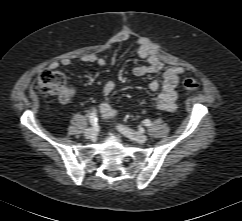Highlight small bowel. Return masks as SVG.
<instances>
[{
	"instance_id": "1",
	"label": "small bowel",
	"mask_w": 242,
	"mask_h": 221,
	"mask_svg": "<svg viewBox=\"0 0 242 221\" xmlns=\"http://www.w3.org/2000/svg\"><path fill=\"white\" fill-rule=\"evenodd\" d=\"M130 37L127 34H122L118 37L117 42H123ZM138 55L147 61V65H136L133 67L132 72L135 76H144L150 73L162 72V79H154L149 83V89L153 92L158 91V95L153 99L154 106L166 112H174L177 108V85L179 83V76L183 73V68L175 66H166L160 59L156 51L150 46L147 40L140 38L138 40ZM81 61L87 64H97L104 66L106 61L104 58L97 56L93 53L84 54ZM72 61L69 58H63L60 61H54L50 64V69H57L60 66L67 67L71 65ZM116 88V83L109 80L104 84L103 94L104 101L99 106L101 117L104 119H111L117 115V111L112 107L110 96ZM70 99V95L66 100Z\"/></svg>"
}]
</instances>
